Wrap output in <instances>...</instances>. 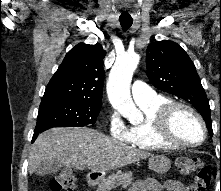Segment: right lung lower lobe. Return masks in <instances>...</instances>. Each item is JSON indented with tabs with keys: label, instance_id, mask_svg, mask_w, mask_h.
Wrapping results in <instances>:
<instances>
[{
	"label": "right lung lower lobe",
	"instance_id": "obj_1",
	"mask_svg": "<svg viewBox=\"0 0 221 191\" xmlns=\"http://www.w3.org/2000/svg\"><path fill=\"white\" fill-rule=\"evenodd\" d=\"M49 129V126H46L40 130H35V133L33 135V138H32V142L37 138L38 134L42 133L43 131Z\"/></svg>",
	"mask_w": 221,
	"mask_h": 191
}]
</instances>
